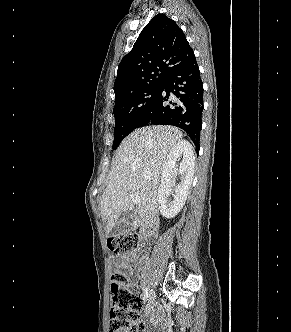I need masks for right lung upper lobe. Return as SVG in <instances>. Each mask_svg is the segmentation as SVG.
Listing matches in <instances>:
<instances>
[{
    "label": "right lung upper lobe",
    "mask_w": 291,
    "mask_h": 332,
    "mask_svg": "<svg viewBox=\"0 0 291 332\" xmlns=\"http://www.w3.org/2000/svg\"><path fill=\"white\" fill-rule=\"evenodd\" d=\"M195 58L183 31L165 14L156 15L121 60L114 83L115 100L156 82Z\"/></svg>",
    "instance_id": "right-lung-upper-lobe-1"
}]
</instances>
